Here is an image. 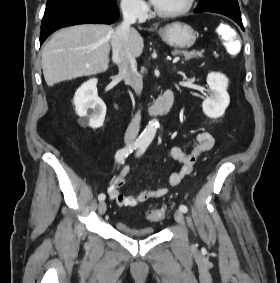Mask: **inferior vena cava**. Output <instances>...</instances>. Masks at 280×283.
Wrapping results in <instances>:
<instances>
[{
  "label": "inferior vena cava",
  "mask_w": 280,
  "mask_h": 283,
  "mask_svg": "<svg viewBox=\"0 0 280 283\" xmlns=\"http://www.w3.org/2000/svg\"><path fill=\"white\" fill-rule=\"evenodd\" d=\"M121 10L123 22L114 30L111 42L113 61L118 65L119 74L125 82L139 95L143 89V80L137 71L136 59L129 46L130 26L136 22L139 9L136 3L128 1L121 4ZM140 122L141 115L138 111L125 132V143L134 142L140 130Z\"/></svg>",
  "instance_id": "obj_1"
}]
</instances>
